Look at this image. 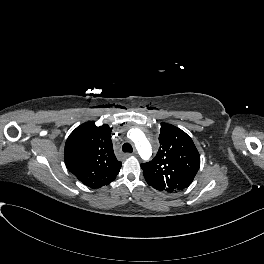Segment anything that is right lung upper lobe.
Masks as SVG:
<instances>
[{
    "label": "right lung upper lobe",
    "mask_w": 264,
    "mask_h": 264,
    "mask_svg": "<svg viewBox=\"0 0 264 264\" xmlns=\"http://www.w3.org/2000/svg\"><path fill=\"white\" fill-rule=\"evenodd\" d=\"M111 131L106 124L97 127L90 121L78 126L66 141V167L90 188L110 184L120 171L122 163L115 157Z\"/></svg>",
    "instance_id": "obj_1"
}]
</instances>
